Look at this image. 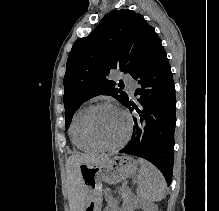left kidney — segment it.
I'll use <instances>...</instances> for the list:
<instances>
[{
  "mask_svg": "<svg viewBox=\"0 0 219 211\" xmlns=\"http://www.w3.org/2000/svg\"><path fill=\"white\" fill-rule=\"evenodd\" d=\"M132 207H134V209H143V211H153L152 207L145 205L144 201H140V199H135L134 203H132Z\"/></svg>",
  "mask_w": 219,
  "mask_h": 211,
  "instance_id": "obj_1",
  "label": "left kidney"
}]
</instances>
